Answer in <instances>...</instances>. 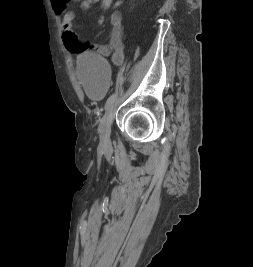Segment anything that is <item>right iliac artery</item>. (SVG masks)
Returning a JSON list of instances; mask_svg holds the SVG:
<instances>
[{
    "label": "right iliac artery",
    "instance_id": "obj_1",
    "mask_svg": "<svg viewBox=\"0 0 253 267\" xmlns=\"http://www.w3.org/2000/svg\"><path fill=\"white\" fill-rule=\"evenodd\" d=\"M116 96H117V94L114 93V94H112V95L107 99V101H106V103H105V109H108V108L110 107V105L113 104V102H114L115 99H116Z\"/></svg>",
    "mask_w": 253,
    "mask_h": 267
}]
</instances>
